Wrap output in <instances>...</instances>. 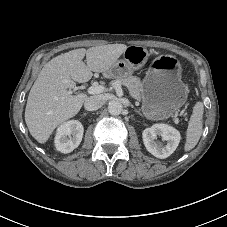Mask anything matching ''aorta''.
<instances>
[{"label": "aorta", "mask_w": 227, "mask_h": 227, "mask_svg": "<svg viewBox=\"0 0 227 227\" xmlns=\"http://www.w3.org/2000/svg\"><path fill=\"white\" fill-rule=\"evenodd\" d=\"M108 111L111 115H119L123 111V105L119 101H111L108 105Z\"/></svg>", "instance_id": "aorta-1"}]
</instances>
